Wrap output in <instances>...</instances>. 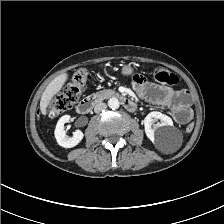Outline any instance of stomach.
I'll return each mask as SVG.
<instances>
[{
  "label": "stomach",
  "mask_w": 224,
  "mask_h": 224,
  "mask_svg": "<svg viewBox=\"0 0 224 224\" xmlns=\"http://www.w3.org/2000/svg\"><path fill=\"white\" fill-rule=\"evenodd\" d=\"M133 73V70L131 68V65H124L122 67V74L125 75V76H129V75H132Z\"/></svg>",
  "instance_id": "0dacf381"
}]
</instances>
